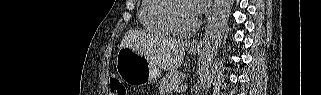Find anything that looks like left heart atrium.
I'll use <instances>...</instances> for the list:
<instances>
[{
  "label": "left heart atrium",
  "mask_w": 321,
  "mask_h": 95,
  "mask_svg": "<svg viewBox=\"0 0 321 95\" xmlns=\"http://www.w3.org/2000/svg\"><path fill=\"white\" fill-rule=\"evenodd\" d=\"M191 2H192V5L190 9L194 14V16H197L203 11H205L208 7V4L210 3V1L208 0H191Z\"/></svg>",
  "instance_id": "obj_1"
}]
</instances>
